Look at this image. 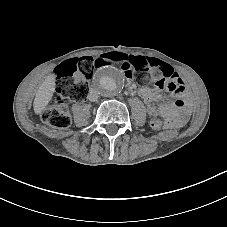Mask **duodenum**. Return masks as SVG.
<instances>
[{"label":"duodenum","instance_id":"duodenum-1","mask_svg":"<svg viewBox=\"0 0 227 227\" xmlns=\"http://www.w3.org/2000/svg\"><path fill=\"white\" fill-rule=\"evenodd\" d=\"M114 58H115V59H117V58H118V56H117V55H115V56H114Z\"/></svg>","mask_w":227,"mask_h":227}]
</instances>
